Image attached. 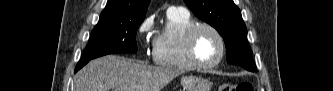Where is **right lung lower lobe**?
<instances>
[{"label": "right lung lower lobe", "mask_w": 333, "mask_h": 91, "mask_svg": "<svg viewBox=\"0 0 333 91\" xmlns=\"http://www.w3.org/2000/svg\"><path fill=\"white\" fill-rule=\"evenodd\" d=\"M90 60H81L78 62L75 72H77L79 69H81L85 64H87Z\"/></svg>", "instance_id": "obj_1"}]
</instances>
